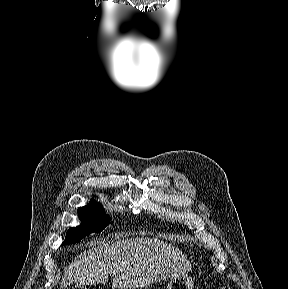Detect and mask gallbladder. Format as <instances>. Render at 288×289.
Instances as JSON below:
<instances>
[{"instance_id":"1","label":"gallbladder","mask_w":288,"mask_h":289,"mask_svg":"<svg viewBox=\"0 0 288 289\" xmlns=\"http://www.w3.org/2000/svg\"><path fill=\"white\" fill-rule=\"evenodd\" d=\"M66 285H67L66 282L63 281L62 286H66Z\"/></svg>"}]
</instances>
